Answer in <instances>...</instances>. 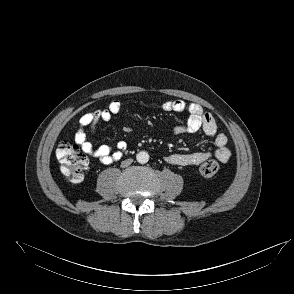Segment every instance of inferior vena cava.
<instances>
[{
	"label": "inferior vena cava",
	"mask_w": 294,
	"mask_h": 294,
	"mask_svg": "<svg viewBox=\"0 0 294 294\" xmlns=\"http://www.w3.org/2000/svg\"><path fill=\"white\" fill-rule=\"evenodd\" d=\"M132 162H133L132 159L124 160V161L121 163V167L125 168V167L129 166Z\"/></svg>",
	"instance_id": "602c4592"
}]
</instances>
